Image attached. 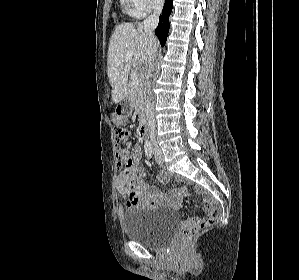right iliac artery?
<instances>
[{"instance_id": "82829eb1", "label": "right iliac artery", "mask_w": 299, "mask_h": 280, "mask_svg": "<svg viewBox=\"0 0 299 280\" xmlns=\"http://www.w3.org/2000/svg\"><path fill=\"white\" fill-rule=\"evenodd\" d=\"M145 154L148 158H151L153 153V147L150 141H146L144 144Z\"/></svg>"}]
</instances>
